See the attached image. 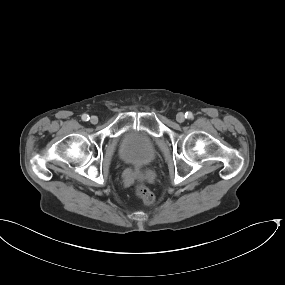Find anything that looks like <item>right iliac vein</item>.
Here are the masks:
<instances>
[{
  "instance_id": "1",
  "label": "right iliac vein",
  "mask_w": 285,
  "mask_h": 285,
  "mask_svg": "<svg viewBox=\"0 0 285 285\" xmlns=\"http://www.w3.org/2000/svg\"><path fill=\"white\" fill-rule=\"evenodd\" d=\"M90 122H91L92 124H97V123H98V117H97V116H91Z\"/></svg>"
}]
</instances>
